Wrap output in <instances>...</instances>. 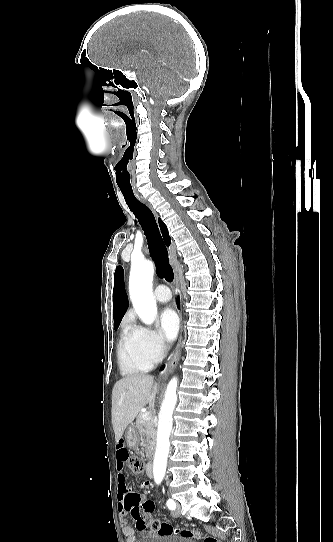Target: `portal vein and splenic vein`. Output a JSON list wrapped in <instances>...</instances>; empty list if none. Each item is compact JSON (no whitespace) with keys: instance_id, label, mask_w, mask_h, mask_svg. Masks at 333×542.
<instances>
[{"instance_id":"18ae733b","label":"portal vein and splenic vein","mask_w":333,"mask_h":542,"mask_svg":"<svg viewBox=\"0 0 333 542\" xmlns=\"http://www.w3.org/2000/svg\"><path fill=\"white\" fill-rule=\"evenodd\" d=\"M142 418H144V420H151V412H144Z\"/></svg>"}]
</instances>
